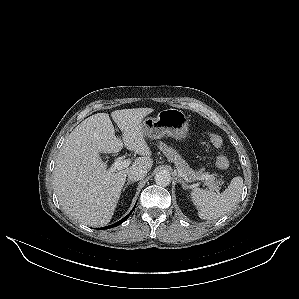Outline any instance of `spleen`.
Masks as SVG:
<instances>
[{"label": "spleen", "mask_w": 299, "mask_h": 299, "mask_svg": "<svg viewBox=\"0 0 299 299\" xmlns=\"http://www.w3.org/2000/svg\"><path fill=\"white\" fill-rule=\"evenodd\" d=\"M243 179L234 177L222 193L201 188H194L191 200L198 209V215L204 220L217 219L229 212L239 202L242 194Z\"/></svg>", "instance_id": "3e777b00"}]
</instances>
